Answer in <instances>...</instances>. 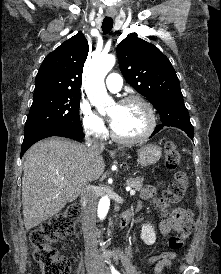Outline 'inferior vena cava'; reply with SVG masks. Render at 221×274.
Returning a JSON list of instances; mask_svg holds the SVG:
<instances>
[{
    "mask_svg": "<svg viewBox=\"0 0 221 274\" xmlns=\"http://www.w3.org/2000/svg\"><path fill=\"white\" fill-rule=\"evenodd\" d=\"M87 148L91 154H98L104 149V143H99L96 140H89ZM81 203L83 208L82 230L85 242V255L87 258H96L97 239L95 230L97 197L93 185L89 184L83 188L81 192Z\"/></svg>",
    "mask_w": 221,
    "mask_h": 274,
    "instance_id": "inferior-vena-cava-1",
    "label": "inferior vena cava"
}]
</instances>
